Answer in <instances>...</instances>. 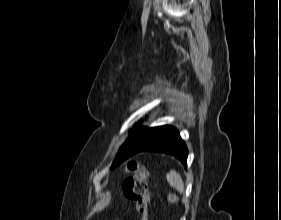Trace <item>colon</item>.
<instances>
[{"label": "colon", "mask_w": 281, "mask_h": 220, "mask_svg": "<svg viewBox=\"0 0 281 220\" xmlns=\"http://www.w3.org/2000/svg\"><path fill=\"white\" fill-rule=\"evenodd\" d=\"M125 172L131 174L124 180L123 192L126 198L133 201L141 220H148V205L150 200L148 186L152 178L148 170L141 164L129 163ZM169 202H176L177 197L172 193H167Z\"/></svg>", "instance_id": "1"}]
</instances>
